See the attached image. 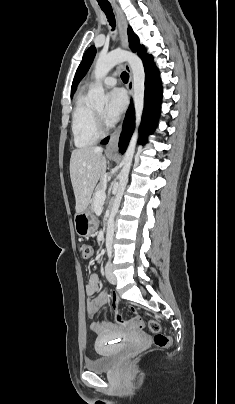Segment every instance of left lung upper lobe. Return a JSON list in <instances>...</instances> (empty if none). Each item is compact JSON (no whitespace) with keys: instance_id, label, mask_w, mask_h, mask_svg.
Returning a JSON list of instances; mask_svg holds the SVG:
<instances>
[{"instance_id":"left-lung-upper-lobe-1","label":"left lung upper lobe","mask_w":235,"mask_h":404,"mask_svg":"<svg viewBox=\"0 0 235 404\" xmlns=\"http://www.w3.org/2000/svg\"><path fill=\"white\" fill-rule=\"evenodd\" d=\"M127 31H128V37H129V47L132 50V52H134V53L137 52L141 58L146 56V49L143 45L139 44V39H138L137 35L133 32L132 28L128 27ZM95 54H96V49L94 46H91L85 52L82 62L80 63V65L76 71V74H75V77H74V80L72 83L71 96L73 95L77 84L84 77L87 70L89 69Z\"/></svg>"}]
</instances>
